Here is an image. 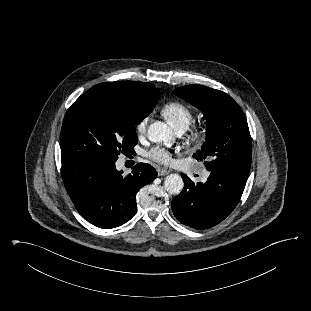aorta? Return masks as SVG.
<instances>
[{
    "instance_id": "obj_1",
    "label": "aorta",
    "mask_w": 311,
    "mask_h": 311,
    "mask_svg": "<svg viewBox=\"0 0 311 311\" xmlns=\"http://www.w3.org/2000/svg\"><path fill=\"white\" fill-rule=\"evenodd\" d=\"M148 139L155 143L171 144L174 141V134L169 126L161 121L152 123L147 131ZM184 187V182L178 174H170L165 177L164 188L172 195H178Z\"/></svg>"
}]
</instances>
